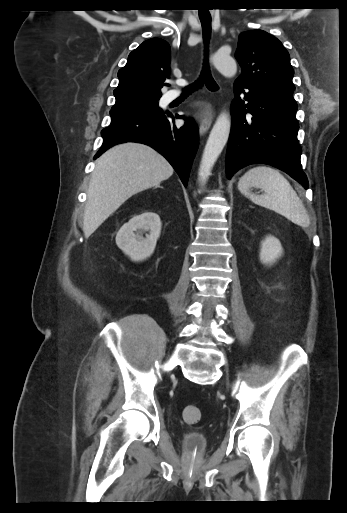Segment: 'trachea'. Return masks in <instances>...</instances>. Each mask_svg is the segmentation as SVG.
Masks as SVG:
<instances>
[{"label":"trachea","instance_id":"1","mask_svg":"<svg viewBox=\"0 0 347 513\" xmlns=\"http://www.w3.org/2000/svg\"><path fill=\"white\" fill-rule=\"evenodd\" d=\"M201 25H202V32H203V38L205 41V44H208L210 33H211V18L207 19H200ZM203 83H205L206 87L210 91H215L218 89V85L211 76L210 69L208 64L205 62L202 73L200 75V79L197 80L193 85L188 87V91H193L197 88H200ZM187 93V91H186Z\"/></svg>","mask_w":347,"mask_h":513}]
</instances>
